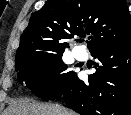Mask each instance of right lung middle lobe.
Masks as SVG:
<instances>
[{
  "mask_svg": "<svg viewBox=\"0 0 131 115\" xmlns=\"http://www.w3.org/2000/svg\"><path fill=\"white\" fill-rule=\"evenodd\" d=\"M63 52L34 53L15 63L18 80L37 97L45 100L58 98L72 78L76 75L66 71L62 62Z\"/></svg>",
  "mask_w": 131,
  "mask_h": 115,
  "instance_id": "1",
  "label": "right lung middle lobe"
}]
</instances>
